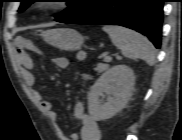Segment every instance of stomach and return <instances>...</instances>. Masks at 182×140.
Listing matches in <instances>:
<instances>
[{"label": "stomach", "instance_id": "0dacf381", "mask_svg": "<svg viewBox=\"0 0 182 140\" xmlns=\"http://www.w3.org/2000/svg\"><path fill=\"white\" fill-rule=\"evenodd\" d=\"M42 36L48 44L65 51L79 50L84 42L80 33L69 28L46 30Z\"/></svg>", "mask_w": 182, "mask_h": 140}]
</instances>
